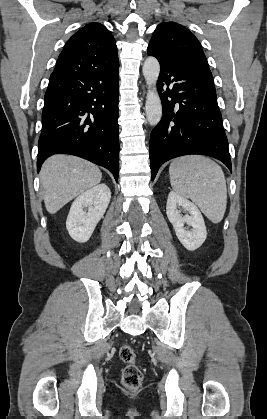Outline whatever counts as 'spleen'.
I'll return each instance as SVG.
<instances>
[{
  "instance_id": "3e777b00",
  "label": "spleen",
  "mask_w": 267,
  "mask_h": 419,
  "mask_svg": "<svg viewBox=\"0 0 267 419\" xmlns=\"http://www.w3.org/2000/svg\"><path fill=\"white\" fill-rule=\"evenodd\" d=\"M174 192L191 199L213 223L222 221L227 205L226 180L222 168L201 155L176 158L169 168Z\"/></svg>"
}]
</instances>
